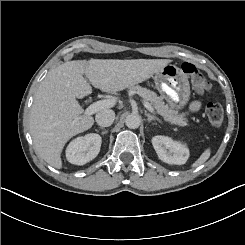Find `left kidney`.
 Listing matches in <instances>:
<instances>
[{
    "instance_id": "obj_1",
    "label": "left kidney",
    "mask_w": 245,
    "mask_h": 245,
    "mask_svg": "<svg viewBox=\"0 0 245 245\" xmlns=\"http://www.w3.org/2000/svg\"><path fill=\"white\" fill-rule=\"evenodd\" d=\"M158 158L165 163L183 165L190 156L186 143L174 140L169 136L156 135L151 139Z\"/></svg>"
}]
</instances>
